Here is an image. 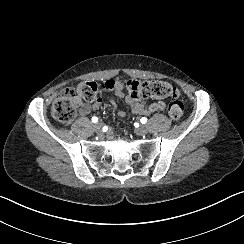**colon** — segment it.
I'll use <instances>...</instances> for the list:
<instances>
[{"mask_svg":"<svg viewBox=\"0 0 244 244\" xmlns=\"http://www.w3.org/2000/svg\"><path fill=\"white\" fill-rule=\"evenodd\" d=\"M104 86L95 81L81 82L75 87L60 91L54 102L51 113L59 122H69L73 119L77 106L81 101L97 103ZM128 95L133 100L148 98H179L176 87L163 80L139 81L131 80L127 84ZM184 107L180 101H173L168 106V115L172 120H179Z\"/></svg>","mask_w":244,"mask_h":244,"instance_id":"colon-1","label":"colon"}]
</instances>
